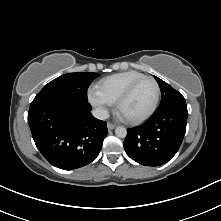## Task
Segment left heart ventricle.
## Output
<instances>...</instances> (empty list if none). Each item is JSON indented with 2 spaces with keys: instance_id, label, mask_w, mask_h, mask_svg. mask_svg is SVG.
Wrapping results in <instances>:
<instances>
[{
  "instance_id": "1",
  "label": "left heart ventricle",
  "mask_w": 221,
  "mask_h": 221,
  "mask_svg": "<svg viewBox=\"0 0 221 221\" xmlns=\"http://www.w3.org/2000/svg\"><path fill=\"white\" fill-rule=\"evenodd\" d=\"M156 88L151 80L140 82L122 107L127 117H137L144 114L153 104Z\"/></svg>"
}]
</instances>
